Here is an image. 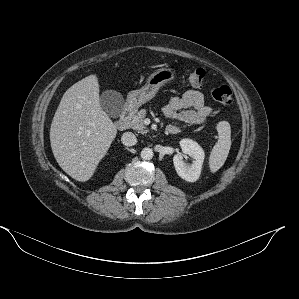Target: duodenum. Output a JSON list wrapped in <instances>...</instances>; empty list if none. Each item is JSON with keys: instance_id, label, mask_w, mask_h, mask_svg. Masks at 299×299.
<instances>
[{"instance_id": "obj_1", "label": "duodenum", "mask_w": 299, "mask_h": 299, "mask_svg": "<svg viewBox=\"0 0 299 299\" xmlns=\"http://www.w3.org/2000/svg\"><path fill=\"white\" fill-rule=\"evenodd\" d=\"M132 115V108L126 107L124 111L122 112L121 117L116 122V127L119 130H125L128 127L130 117ZM167 134H176V130L171 127H167L166 129Z\"/></svg>"}]
</instances>
